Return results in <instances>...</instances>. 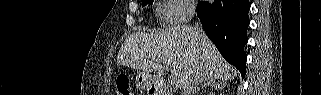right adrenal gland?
Masks as SVG:
<instances>
[{"label": "right adrenal gland", "mask_w": 321, "mask_h": 95, "mask_svg": "<svg viewBox=\"0 0 321 95\" xmlns=\"http://www.w3.org/2000/svg\"><path fill=\"white\" fill-rule=\"evenodd\" d=\"M226 86V83L219 80H206L204 84L200 87H198L195 92H199L201 89L212 87L216 90H223Z\"/></svg>", "instance_id": "2a0ac1e0"}]
</instances>
